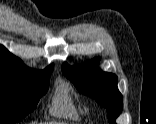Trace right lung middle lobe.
Returning <instances> with one entry per match:
<instances>
[{
	"mask_svg": "<svg viewBox=\"0 0 156 124\" xmlns=\"http://www.w3.org/2000/svg\"><path fill=\"white\" fill-rule=\"evenodd\" d=\"M49 78L0 74V124H14L33 112L48 90Z\"/></svg>",
	"mask_w": 156,
	"mask_h": 124,
	"instance_id": "1",
	"label": "right lung middle lobe"
}]
</instances>
